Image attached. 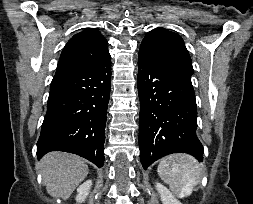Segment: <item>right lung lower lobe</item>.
<instances>
[{"mask_svg": "<svg viewBox=\"0 0 253 204\" xmlns=\"http://www.w3.org/2000/svg\"><path fill=\"white\" fill-rule=\"evenodd\" d=\"M111 57L54 77L37 143L40 159L59 150L104 163L105 123L110 97Z\"/></svg>", "mask_w": 253, "mask_h": 204, "instance_id": "right-lung-lower-lobe-1", "label": "right lung lower lobe"}]
</instances>
